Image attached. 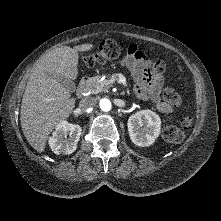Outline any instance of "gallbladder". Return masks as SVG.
<instances>
[{
	"mask_svg": "<svg viewBox=\"0 0 221 221\" xmlns=\"http://www.w3.org/2000/svg\"><path fill=\"white\" fill-rule=\"evenodd\" d=\"M55 79L63 86L65 87L67 90H69L70 92H74L76 89V85L75 83L70 80V79H66L62 76L59 77H55Z\"/></svg>",
	"mask_w": 221,
	"mask_h": 221,
	"instance_id": "gallbladder-1",
	"label": "gallbladder"
}]
</instances>
